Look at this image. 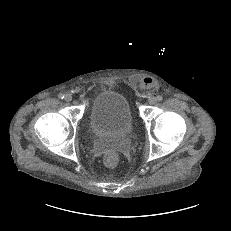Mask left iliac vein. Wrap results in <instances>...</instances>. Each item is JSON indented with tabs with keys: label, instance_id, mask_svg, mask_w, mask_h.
I'll return each mask as SVG.
<instances>
[{
	"label": "left iliac vein",
	"instance_id": "1",
	"mask_svg": "<svg viewBox=\"0 0 231 231\" xmlns=\"http://www.w3.org/2000/svg\"><path fill=\"white\" fill-rule=\"evenodd\" d=\"M148 102H149V104L150 105H154L156 102H157V99L155 98V97H150L149 99H148Z\"/></svg>",
	"mask_w": 231,
	"mask_h": 231
}]
</instances>
